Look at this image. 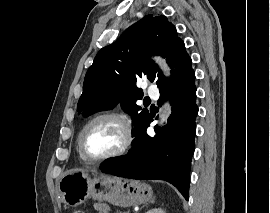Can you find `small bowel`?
<instances>
[{
	"instance_id": "small-bowel-1",
	"label": "small bowel",
	"mask_w": 270,
	"mask_h": 213,
	"mask_svg": "<svg viewBox=\"0 0 270 213\" xmlns=\"http://www.w3.org/2000/svg\"><path fill=\"white\" fill-rule=\"evenodd\" d=\"M109 212V208L104 205V204H97V213H108Z\"/></svg>"
}]
</instances>
